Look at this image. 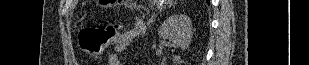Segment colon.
<instances>
[{"label": "colon", "mask_w": 309, "mask_h": 65, "mask_svg": "<svg viewBox=\"0 0 309 65\" xmlns=\"http://www.w3.org/2000/svg\"><path fill=\"white\" fill-rule=\"evenodd\" d=\"M121 30L120 24L90 26L80 31L79 44L88 55L98 58L105 49L117 41Z\"/></svg>", "instance_id": "obj_1"}]
</instances>
